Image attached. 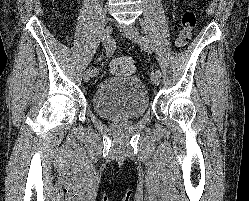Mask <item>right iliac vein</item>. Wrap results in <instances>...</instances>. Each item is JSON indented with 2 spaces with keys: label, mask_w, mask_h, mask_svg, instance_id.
Here are the masks:
<instances>
[{
  "label": "right iliac vein",
  "mask_w": 249,
  "mask_h": 201,
  "mask_svg": "<svg viewBox=\"0 0 249 201\" xmlns=\"http://www.w3.org/2000/svg\"><path fill=\"white\" fill-rule=\"evenodd\" d=\"M111 32H112V26H111V24H106V25L104 26L103 30H102V33H101V38H102V40H103V39L105 40V39L107 38V36H108ZM90 78H91V68H88V69L85 71V73H84L83 79H84L85 82H88V81L90 80Z\"/></svg>",
  "instance_id": "1"
}]
</instances>
